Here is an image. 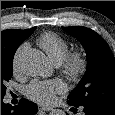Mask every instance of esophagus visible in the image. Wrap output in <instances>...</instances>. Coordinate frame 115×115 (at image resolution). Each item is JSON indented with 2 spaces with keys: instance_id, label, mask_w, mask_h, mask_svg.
<instances>
[{
  "instance_id": "esophagus-1",
  "label": "esophagus",
  "mask_w": 115,
  "mask_h": 115,
  "mask_svg": "<svg viewBox=\"0 0 115 115\" xmlns=\"http://www.w3.org/2000/svg\"><path fill=\"white\" fill-rule=\"evenodd\" d=\"M39 110L48 112L51 111L52 109L49 107L39 106Z\"/></svg>"
}]
</instances>
